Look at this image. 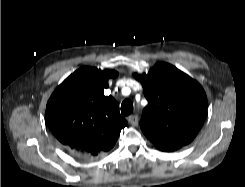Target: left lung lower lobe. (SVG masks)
<instances>
[{
	"label": "left lung lower lobe",
	"mask_w": 245,
	"mask_h": 187,
	"mask_svg": "<svg viewBox=\"0 0 245 187\" xmlns=\"http://www.w3.org/2000/svg\"><path fill=\"white\" fill-rule=\"evenodd\" d=\"M183 146H178V147H174V148H170V149H166V150H162V151H166V152H171V151H175L177 149H180Z\"/></svg>",
	"instance_id": "left-lung-lower-lobe-1"
}]
</instances>
